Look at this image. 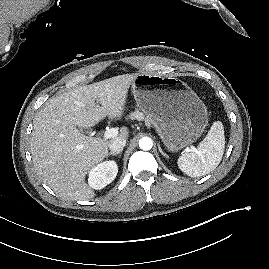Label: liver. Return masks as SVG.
<instances>
[{"instance_id":"6515ba94","label":"liver","mask_w":269,"mask_h":269,"mask_svg":"<svg viewBox=\"0 0 269 269\" xmlns=\"http://www.w3.org/2000/svg\"><path fill=\"white\" fill-rule=\"evenodd\" d=\"M139 74L118 75L78 87L50 98L37 112L31 139L32 160L38 176L58 196L70 200L95 196L85 177L108 156L111 141L86 136L78 128L93 127L106 116L121 119L128 89ZM128 133L123 127L117 138H127Z\"/></svg>"}]
</instances>
